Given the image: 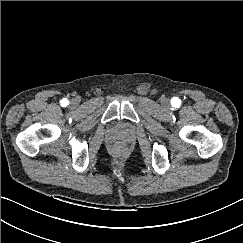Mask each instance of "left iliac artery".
Returning <instances> with one entry per match:
<instances>
[{
    "label": "left iliac artery",
    "mask_w": 243,
    "mask_h": 243,
    "mask_svg": "<svg viewBox=\"0 0 243 243\" xmlns=\"http://www.w3.org/2000/svg\"><path fill=\"white\" fill-rule=\"evenodd\" d=\"M172 104H173L174 106H177V105L179 104V99H178V98H173V99H172Z\"/></svg>",
    "instance_id": "left-iliac-artery-1"
}]
</instances>
